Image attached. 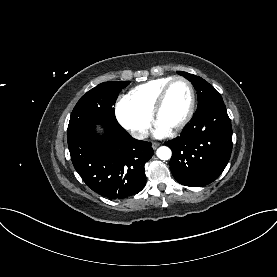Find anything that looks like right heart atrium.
Instances as JSON below:
<instances>
[{"label": "right heart atrium", "mask_w": 277, "mask_h": 277, "mask_svg": "<svg viewBox=\"0 0 277 277\" xmlns=\"http://www.w3.org/2000/svg\"><path fill=\"white\" fill-rule=\"evenodd\" d=\"M115 115L119 124L136 139L146 136L152 122L151 115L137 109L127 97L118 100Z\"/></svg>", "instance_id": "1"}]
</instances>
